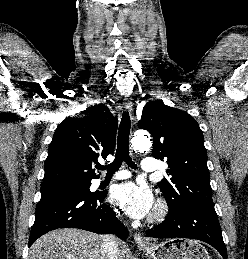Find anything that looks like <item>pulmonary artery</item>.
I'll return each instance as SVG.
<instances>
[{
	"label": "pulmonary artery",
	"mask_w": 248,
	"mask_h": 259,
	"mask_svg": "<svg viewBox=\"0 0 248 259\" xmlns=\"http://www.w3.org/2000/svg\"><path fill=\"white\" fill-rule=\"evenodd\" d=\"M141 170L144 173H153L157 170V164L155 159L153 158H144L141 162ZM130 176L127 171H120L113 175L111 180H118V179H126ZM104 179L98 180V183H101Z\"/></svg>",
	"instance_id": "e3ab8cb5"
}]
</instances>
